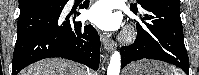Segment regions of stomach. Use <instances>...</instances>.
I'll return each mask as SVG.
<instances>
[{"mask_svg": "<svg viewBox=\"0 0 199 75\" xmlns=\"http://www.w3.org/2000/svg\"><path fill=\"white\" fill-rule=\"evenodd\" d=\"M168 66L158 61H139L130 64L124 75H167Z\"/></svg>", "mask_w": 199, "mask_h": 75, "instance_id": "obj_1", "label": "stomach"}]
</instances>
